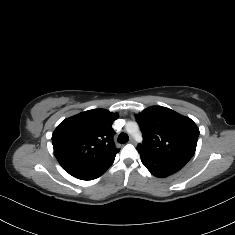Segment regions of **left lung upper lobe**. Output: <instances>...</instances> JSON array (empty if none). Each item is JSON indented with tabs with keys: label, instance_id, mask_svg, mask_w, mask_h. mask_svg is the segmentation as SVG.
I'll list each match as a JSON object with an SVG mask.
<instances>
[{
	"label": "left lung upper lobe",
	"instance_id": "obj_1",
	"mask_svg": "<svg viewBox=\"0 0 235 235\" xmlns=\"http://www.w3.org/2000/svg\"><path fill=\"white\" fill-rule=\"evenodd\" d=\"M143 133L140 154L186 165L193 157L199 129L188 117L165 107L152 106L136 115Z\"/></svg>",
	"mask_w": 235,
	"mask_h": 235
}]
</instances>
